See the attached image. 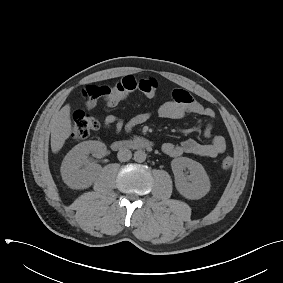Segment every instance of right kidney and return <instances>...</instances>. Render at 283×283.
I'll return each mask as SVG.
<instances>
[{"label": "right kidney", "instance_id": "1", "mask_svg": "<svg viewBox=\"0 0 283 283\" xmlns=\"http://www.w3.org/2000/svg\"><path fill=\"white\" fill-rule=\"evenodd\" d=\"M106 146L99 141H84L76 145L65 156L61 165V175L65 184L72 189H85L95 179L97 165L90 162L91 153L96 158L106 155Z\"/></svg>", "mask_w": 283, "mask_h": 283}]
</instances>
